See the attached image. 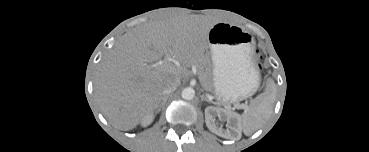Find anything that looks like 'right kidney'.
<instances>
[{
	"mask_svg": "<svg viewBox=\"0 0 369 152\" xmlns=\"http://www.w3.org/2000/svg\"><path fill=\"white\" fill-rule=\"evenodd\" d=\"M154 117H155V115H154L153 113H152V114H150V115H146V116L142 119V121H141V125H142L143 127H146V126L150 125V124L153 122Z\"/></svg>",
	"mask_w": 369,
	"mask_h": 152,
	"instance_id": "obj_1",
	"label": "right kidney"
}]
</instances>
